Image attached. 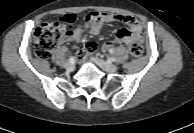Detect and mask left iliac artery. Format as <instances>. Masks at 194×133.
Returning a JSON list of instances; mask_svg holds the SVG:
<instances>
[{"label":"left iliac artery","mask_w":194,"mask_h":133,"mask_svg":"<svg viewBox=\"0 0 194 133\" xmlns=\"http://www.w3.org/2000/svg\"><path fill=\"white\" fill-rule=\"evenodd\" d=\"M108 61H109V62H114V61H115V58L110 57V58H108Z\"/></svg>","instance_id":"left-iliac-artery-1"}]
</instances>
